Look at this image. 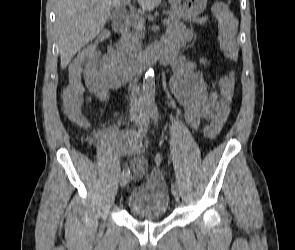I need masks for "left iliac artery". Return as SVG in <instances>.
I'll list each match as a JSON object with an SVG mask.
<instances>
[{"label":"left iliac artery","mask_w":295,"mask_h":250,"mask_svg":"<svg viewBox=\"0 0 295 250\" xmlns=\"http://www.w3.org/2000/svg\"><path fill=\"white\" fill-rule=\"evenodd\" d=\"M150 115H151V119L153 121V124L155 126H158V121H159V112H158V108L155 105H152L150 108ZM177 189V186L172 183L171 184V190H175Z\"/></svg>","instance_id":"44dca946"}]
</instances>
